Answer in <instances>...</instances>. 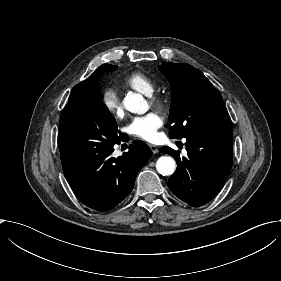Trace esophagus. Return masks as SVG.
Here are the masks:
<instances>
[{"label":"esophagus","instance_id":"34e87169","mask_svg":"<svg viewBox=\"0 0 281 281\" xmlns=\"http://www.w3.org/2000/svg\"><path fill=\"white\" fill-rule=\"evenodd\" d=\"M148 146L150 147L151 151L156 154L159 152V149L157 146L153 145V144H148Z\"/></svg>","mask_w":281,"mask_h":281}]
</instances>
